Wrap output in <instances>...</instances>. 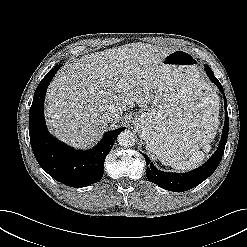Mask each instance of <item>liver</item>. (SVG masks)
Listing matches in <instances>:
<instances>
[{
	"label": "liver",
	"mask_w": 247,
	"mask_h": 247,
	"mask_svg": "<svg viewBox=\"0 0 247 247\" xmlns=\"http://www.w3.org/2000/svg\"><path fill=\"white\" fill-rule=\"evenodd\" d=\"M174 49L132 43L82 56L51 82L44 107L48 126L61 141L84 149L96 143L123 111L146 106L163 87V59ZM120 118L107 121L110 110ZM216 122V127H217Z\"/></svg>",
	"instance_id": "liver-1"
}]
</instances>
